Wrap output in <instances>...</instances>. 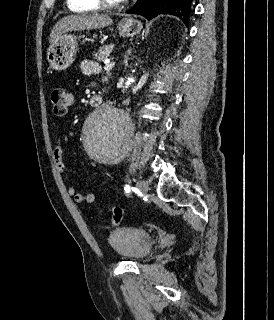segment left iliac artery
<instances>
[{"label":"left iliac artery","instance_id":"left-iliac-artery-1","mask_svg":"<svg viewBox=\"0 0 274 320\" xmlns=\"http://www.w3.org/2000/svg\"><path fill=\"white\" fill-rule=\"evenodd\" d=\"M124 190H125L126 193H130L131 192V187L129 185H125Z\"/></svg>","mask_w":274,"mask_h":320}]
</instances>
